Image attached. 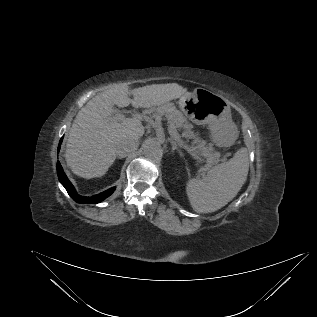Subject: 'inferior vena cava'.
<instances>
[{"mask_svg":"<svg viewBox=\"0 0 317 317\" xmlns=\"http://www.w3.org/2000/svg\"><path fill=\"white\" fill-rule=\"evenodd\" d=\"M138 147V140L134 138H127L117 142L115 145V153L117 156L123 158L126 157L128 153L136 150Z\"/></svg>","mask_w":317,"mask_h":317,"instance_id":"1","label":"inferior vena cava"}]
</instances>
